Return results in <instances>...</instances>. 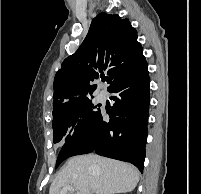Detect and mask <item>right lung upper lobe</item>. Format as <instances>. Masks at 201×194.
<instances>
[{"label": "right lung upper lobe", "instance_id": "1", "mask_svg": "<svg viewBox=\"0 0 201 194\" xmlns=\"http://www.w3.org/2000/svg\"><path fill=\"white\" fill-rule=\"evenodd\" d=\"M137 31L128 19L100 13L93 20L79 49L67 57L54 79L53 119L75 109L96 89L92 81L109 76L110 86L143 58ZM109 86V87H110Z\"/></svg>", "mask_w": 201, "mask_h": 194}]
</instances>
